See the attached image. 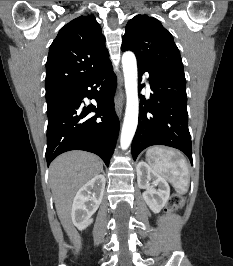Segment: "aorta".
<instances>
[{
  "label": "aorta",
  "instance_id": "762f6f07",
  "mask_svg": "<svg viewBox=\"0 0 233 266\" xmlns=\"http://www.w3.org/2000/svg\"><path fill=\"white\" fill-rule=\"evenodd\" d=\"M122 66L126 90V110L121 131L120 146L127 149L134 137L139 113L137 61L133 52H124Z\"/></svg>",
  "mask_w": 233,
  "mask_h": 266
}]
</instances>
